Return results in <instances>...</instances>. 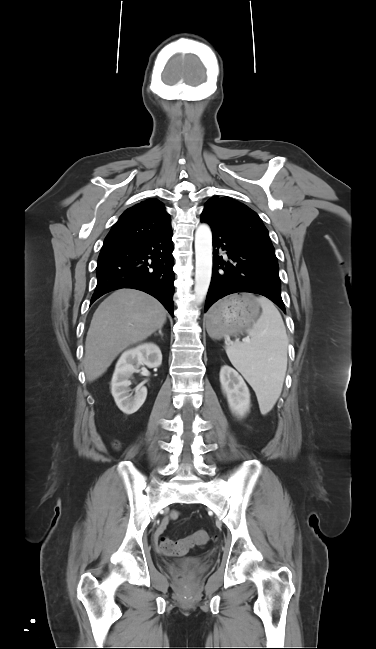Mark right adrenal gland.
I'll list each match as a JSON object with an SVG mask.
<instances>
[{
    "label": "right adrenal gland",
    "mask_w": 376,
    "mask_h": 649,
    "mask_svg": "<svg viewBox=\"0 0 376 649\" xmlns=\"http://www.w3.org/2000/svg\"><path fill=\"white\" fill-rule=\"evenodd\" d=\"M158 334H159L161 337H163L162 328H159V330H158ZM158 334H157V333H154L155 336L158 335Z\"/></svg>",
    "instance_id": "obj_1"
}]
</instances>
